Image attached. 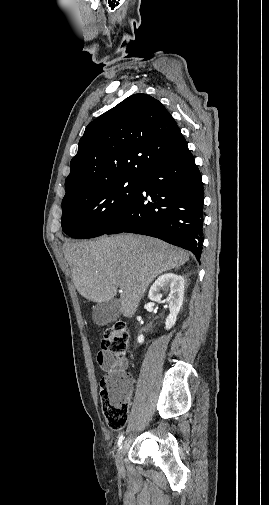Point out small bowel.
<instances>
[{"label": "small bowel", "mask_w": 269, "mask_h": 505, "mask_svg": "<svg viewBox=\"0 0 269 505\" xmlns=\"http://www.w3.org/2000/svg\"><path fill=\"white\" fill-rule=\"evenodd\" d=\"M97 362L101 369L108 375L125 374L128 366L126 359H116L111 354L100 351L97 354Z\"/></svg>", "instance_id": "1"}]
</instances>
